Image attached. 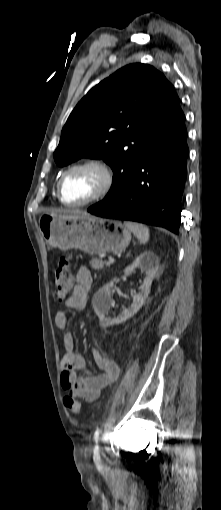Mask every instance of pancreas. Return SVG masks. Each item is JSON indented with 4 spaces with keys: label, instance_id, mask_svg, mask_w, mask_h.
Here are the masks:
<instances>
[{
    "label": "pancreas",
    "instance_id": "obj_1",
    "mask_svg": "<svg viewBox=\"0 0 221 510\" xmlns=\"http://www.w3.org/2000/svg\"><path fill=\"white\" fill-rule=\"evenodd\" d=\"M90 266L92 269L101 270L104 268V262L101 259L95 258L90 261ZM106 266L109 267L107 264Z\"/></svg>",
    "mask_w": 221,
    "mask_h": 510
}]
</instances>
